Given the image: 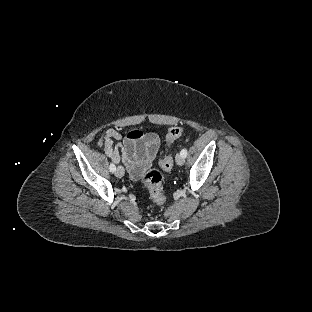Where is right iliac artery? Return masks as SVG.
<instances>
[{
	"label": "right iliac artery",
	"instance_id": "obj_1",
	"mask_svg": "<svg viewBox=\"0 0 312 312\" xmlns=\"http://www.w3.org/2000/svg\"><path fill=\"white\" fill-rule=\"evenodd\" d=\"M109 169H110V172H112V173H114L116 171V167L113 163L110 164Z\"/></svg>",
	"mask_w": 312,
	"mask_h": 312
}]
</instances>
